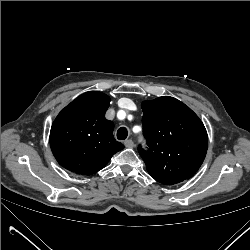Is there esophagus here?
Wrapping results in <instances>:
<instances>
[{"label":"esophagus","mask_w":250,"mask_h":250,"mask_svg":"<svg viewBox=\"0 0 250 250\" xmlns=\"http://www.w3.org/2000/svg\"><path fill=\"white\" fill-rule=\"evenodd\" d=\"M124 145L127 148H132L134 146V143H133V141L131 139H128V140L124 141Z\"/></svg>","instance_id":"esophagus-1"}]
</instances>
